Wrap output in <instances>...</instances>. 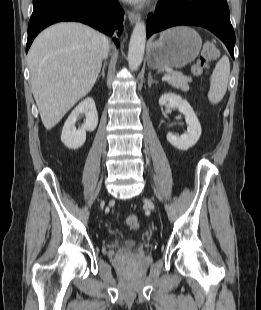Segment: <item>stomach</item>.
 <instances>
[{
	"label": "stomach",
	"mask_w": 261,
	"mask_h": 310,
	"mask_svg": "<svg viewBox=\"0 0 261 310\" xmlns=\"http://www.w3.org/2000/svg\"><path fill=\"white\" fill-rule=\"evenodd\" d=\"M201 46V37L194 29L185 26L167 29L149 46V66L182 68L198 56Z\"/></svg>",
	"instance_id": "obj_1"
}]
</instances>
